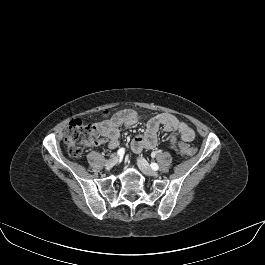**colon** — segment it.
Returning a JSON list of instances; mask_svg holds the SVG:
<instances>
[{
    "label": "colon",
    "mask_w": 265,
    "mask_h": 265,
    "mask_svg": "<svg viewBox=\"0 0 265 265\" xmlns=\"http://www.w3.org/2000/svg\"><path fill=\"white\" fill-rule=\"evenodd\" d=\"M108 112H105L107 114ZM98 132L94 125L84 124L80 119L70 122L64 137V144L70 156L74 158L80 157L85 148L95 144ZM179 152L186 157H191L196 150L193 146L181 143Z\"/></svg>",
    "instance_id": "1"
}]
</instances>
